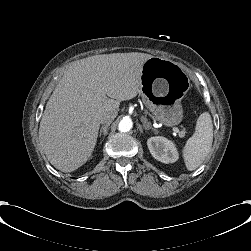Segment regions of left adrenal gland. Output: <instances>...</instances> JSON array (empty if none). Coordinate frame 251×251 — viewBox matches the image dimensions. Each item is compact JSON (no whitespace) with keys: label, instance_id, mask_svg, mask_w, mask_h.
I'll return each mask as SVG.
<instances>
[{"label":"left adrenal gland","instance_id":"1","mask_svg":"<svg viewBox=\"0 0 251 251\" xmlns=\"http://www.w3.org/2000/svg\"><path fill=\"white\" fill-rule=\"evenodd\" d=\"M141 121L143 122V127H144L146 130L151 129L152 131L155 132V134H158V130L155 129V128H153L152 125H151V123L148 122V120H147L144 116L141 117Z\"/></svg>","mask_w":251,"mask_h":251}]
</instances>
